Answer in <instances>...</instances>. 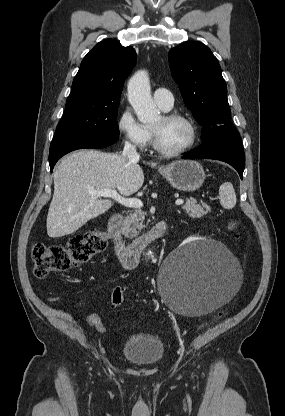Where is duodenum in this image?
Listing matches in <instances>:
<instances>
[{
  "instance_id": "duodenum-1",
  "label": "duodenum",
  "mask_w": 285,
  "mask_h": 416,
  "mask_svg": "<svg viewBox=\"0 0 285 416\" xmlns=\"http://www.w3.org/2000/svg\"><path fill=\"white\" fill-rule=\"evenodd\" d=\"M122 215L113 214L107 224V232L114 244L115 254L120 266L125 270L134 269L143 254L144 249L152 242L161 239L168 232L166 221L158 222L145 236L128 243L122 232Z\"/></svg>"
}]
</instances>
